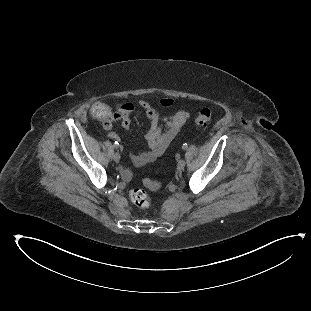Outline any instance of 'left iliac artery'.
Here are the masks:
<instances>
[{
    "label": "left iliac artery",
    "mask_w": 311,
    "mask_h": 311,
    "mask_svg": "<svg viewBox=\"0 0 311 311\" xmlns=\"http://www.w3.org/2000/svg\"><path fill=\"white\" fill-rule=\"evenodd\" d=\"M187 148H188V144H187V143H184L183 146H182V149L185 150V149H187Z\"/></svg>",
    "instance_id": "44dca946"
}]
</instances>
